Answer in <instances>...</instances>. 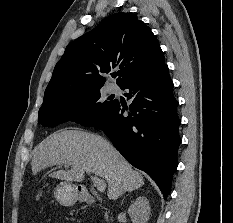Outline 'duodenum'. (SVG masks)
I'll use <instances>...</instances> for the list:
<instances>
[{"instance_id": "duodenum-1", "label": "duodenum", "mask_w": 233, "mask_h": 223, "mask_svg": "<svg viewBox=\"0 0 233 223\" xmlns=\"http://www.w3.org/2000/svg\"><path fill=\"white\" fill-rule=\"evenodd\" d=\"M78 200L87 204L95 203L94 197L87 190H80L78 192Z\"/></svg>"}]
</instances>
